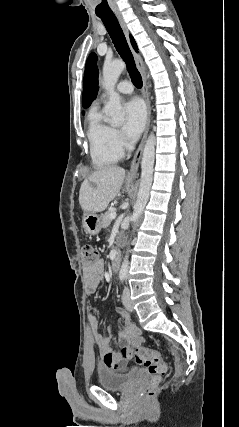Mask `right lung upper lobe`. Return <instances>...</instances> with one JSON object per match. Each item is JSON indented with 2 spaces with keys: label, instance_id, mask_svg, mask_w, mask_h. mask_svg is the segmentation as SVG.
<instances>
[{
  "label": "right lung upper lobe",
  "instance_id": "obj_1",
  "mask_svg": "<svg viewBox=\"0 0 239 427\" xmlns=\"http://www.w3.org/2000/svg\"><path fill=\"white\" fill-rule=\"evenodd\" d=\"M130 39H131V43H132V45H133L134 49H135V50H137V45H136L135 40L133 39V37H132V36H130Z\"/></svg>",
  "mask_w": 239,
  "mask_h": 427
}]
</instances>
